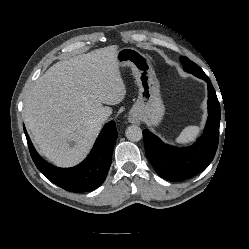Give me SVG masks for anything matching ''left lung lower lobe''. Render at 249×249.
<instances>
[{
    "mask_svg": "<svg viewBox=\"0 0 249 249\" xmlns=\"http://www.w3.org/2000/svg\"><path fill=\"white\" fill-rule=\"evenodd\" d=\"M193 75L208 84V120L203 135L189 146L164 144L148 130L143 131L146 155L155 171L168 181L178 182L205 170L213 160L219 140L220 105L212 83L204 71Z\"/></svg>",
    "mask_w": 249,
    "mask_h": 249,
    "instance_id": "1",
    "label": "left lung lower lobe"
}]
</instances>
